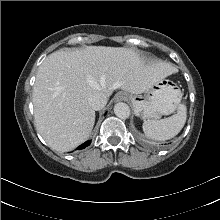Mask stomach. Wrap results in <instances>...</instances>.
Wrapping results in <instances>:
<instances>
[{
	"mask_svg": "<svg viewBox=\"0 0 220 220\" xmlns=\"http://www.w3.org/2000/svg\"><path fill=\"white\" fill-rule=\"evenodd\" d=\"M176 87L171 80L161 79L146 91L145 100L138 96H130L135 114L142 119H157L173 113L182 97Z\"/></svg>",
	"mask_w": 220,
	"mask_h": 220,
	"instance_id": "1",
	"label": "stomach"
}]
</instances>
